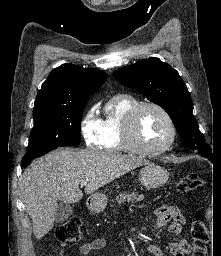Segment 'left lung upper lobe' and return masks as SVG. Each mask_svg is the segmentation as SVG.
I'll list each match as a JSON object with an SVG mask.
<instances>
[{
	"instance_id": "left-lung-upper-lobe-1",
	"label": "left lung upper lobe",
	"mask_w": 221,
	"mask_h": 256,
	"mask_svg": "<svg viewBox=\"0 0 221 256\" xmlns=\"http://www.w3.org/2000/svg\"><path fill=\"white\" fill-rule=\"evenodd\" d=\"M113 75L124 86L136 89L161 106L173 120L185 146L203 157L212 158V149L193 116L190 93L175 69L153 57L122 67Z\"/></svg>"
}]
</instances>
